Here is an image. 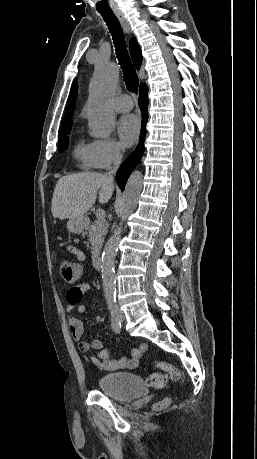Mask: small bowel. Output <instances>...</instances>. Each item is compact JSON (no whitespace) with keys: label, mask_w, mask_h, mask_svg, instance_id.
<instances>
[{"label":"small bowel","mask_w":257,"mask_h":459,"mask_svg":"<svg viewBox=\"0 0 257 459\" xmlns=\"http://www.w3.org/2000/svg\"><path fill=\"white\" fill-rule=\"evenodd\" d=\"M63 246L66 249L69 258L73 264H84L86 261L84 249L79 246H74L73 239H64ZM90 287L87 283H81L68 289L66 293L67 306L66 311L69 313L68 326L70 332L76 341L81 352H87L92 349L94 352L90 357L91 364L104 371H116L123 368H134L143 353L147 350L146 344H141L139 348L133 349L129 358L111 359L107 350L103 348L101 339L95 338L91 342L83 339L84 325L82 321L72 314L74 308H77L78 313H85L87 306L81 303L83 296L89 291Z\"/></svg>","instance_id":"obj_1"}]
</instances>
